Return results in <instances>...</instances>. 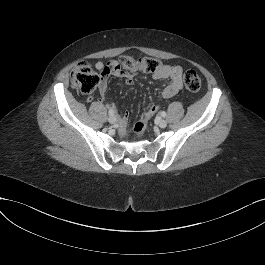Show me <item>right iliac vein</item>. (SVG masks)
<instances>
[{"mask_svg":"<svg viewBox=\"0 0 265 265\" xmlns=\"http://www.w3.org/2000/svg\"><path fill=\"white\" fill-rule=\"evenodd\" d=\"M108 120H109L110 123L113 124V123H115L117 121V118H116V116L111 115Z\"/></svg>","mask_w":265,"mask_h":265,"instance_id":"63e3f726","label":"right iliac vein"}]
</instances>
